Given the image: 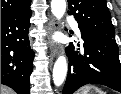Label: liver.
Segmentation results:
<instances>
[{"label":"liver","instance_id":"obj_1","mask_svg":"<svg viewBox=\"0 0 121 94\" xmlns=\"http://www.w3.org/2000/svg\"><path fill=\"white\" fill-rule=\"evenodd\" d=\"M1 94H15V92L11 90L9 87L1 84Z\"/></svg>","mask_w":121,"mask_h":94}]
</instances>
